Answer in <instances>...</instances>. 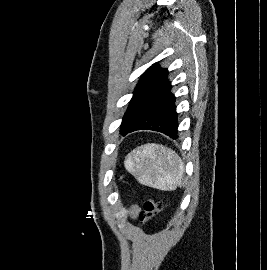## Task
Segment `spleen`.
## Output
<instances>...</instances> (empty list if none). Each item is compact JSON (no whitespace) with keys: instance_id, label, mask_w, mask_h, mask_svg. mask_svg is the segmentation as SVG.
I'll return each mask as SVG.
<instances>
[{"instance_id":"spleen-1","label":"spleen","mask_w":267,"mask_h":270,"mask_svg":"<svg viewBox=\"0 0 267 270\" xmlns=\"http://www.w3.org/2000/svg\"><path fill=\"white\" fill-rule=\"evenodd\" d=\"M124 166L142 185L163 191L182 186L184 165L170 148L148 143L137 147L125 158Z\"/></svg>"}]
</instances>
